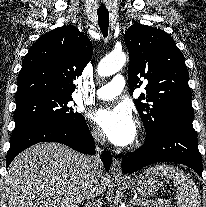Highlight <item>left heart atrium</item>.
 <instances>
[{
  "instance_id": "39dd6f15",
  "label": "left heart atrium",
  "mask_w": 206,
  "mask_h": 207,
  "mask_svg": "<svg viewBox=\"0 0 206 207\" xmlns=\"http://www.w3.org/2000/svg\"><path fill=\"white\" fill-rule=\"evenodd\" d=\"M94 119L115 145L126 146L136 136V122L131 109L126 104L99 109L94 114Z\"/></svg>"
}]
</instances>
